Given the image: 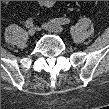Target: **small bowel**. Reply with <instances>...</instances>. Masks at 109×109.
<instances>
[{"mask_svg":"<svg viewBox=\"0 0 109 109\" xmlns=\"http://www.w3.org/2000/svg\"><path fill=\"white\" fill-rule=\"evenodd\" d=\"M40 6L45 8H51L54 5V1H40Z\"/></svg>","mask_w":109,"mask_h":109,"instance_id":"c3829d8e","label":"small bowel"}]
</instances>
